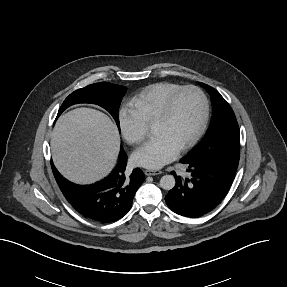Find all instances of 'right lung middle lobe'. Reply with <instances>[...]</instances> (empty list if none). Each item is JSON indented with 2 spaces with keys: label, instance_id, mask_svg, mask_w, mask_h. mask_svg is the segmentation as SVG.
<instances>
[{
  "label": "right lung middle lobe",
  "instance_id": "obj_1",
  "mask_svg": "<svg viewBox=\"0 0 287 287\" xmlns=\"http://www.w3.org/2000/svg\"><path fill=\"white\" fill-rule=\"evenodd\" d=\"M125 86L116 85L108 82H101L88 85L71 93L63 102L58 116L69 106L77 103H93L106 109L119 125V106L126 93Z\"/></svg>",
  "mask_w": 287,
  "mask_h": 287
}]
</instances>
